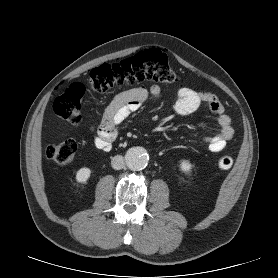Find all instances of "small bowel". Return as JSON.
<instances>
[{
    "mask_svg": "<svg viewBox=\"0 0 278 278\" xmlns=\"http://www.w3.org/2000/svg\"><path fill=\"white\" fill-rule=\"evenodd\" d=\"M160 96L161 88L158 85H152L149 88L139 86L117 94L106 107L100 125L90 128L95 134L94 146L101 151H110L112 143L118 136V126L148 99H158ZM202 103L207 104L219 124V131L205 136L203 141L212 152H220L233 138L234 129L230 117L225 113L224 106L214 93L182 87L177 92L174 109L177 114L187 116L194 113Z\"/></svg>",
    "mask_w": 278,
    "mask_h": 278,
    "instance_id": "c3829d8e",
    "label": "small bowel"
}]
</instances>
